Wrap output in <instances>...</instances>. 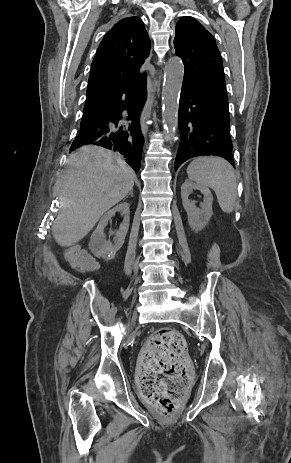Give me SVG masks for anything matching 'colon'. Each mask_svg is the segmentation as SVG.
I'll return each instance as SVG.
<instances>
[{"label":"colon","mask_w":291,"mask_h":463,"mask_svg":"<svg viewBox=\"0 0 291 463\" xmlns=\"http://www.w3.org/2000/svg\"><path fill=\"white\" fill-rule=\"evenodd\" d=\"M66 259L78 271H90L96 267L91 255L79 247L69 249ZM186 350L187 342L183 335L174 329L162 328L149 339L140 355L141 394L165 418L174 414L178 400L190 381Z\"/></svg>","instance_id":"1"}]
</instances>
